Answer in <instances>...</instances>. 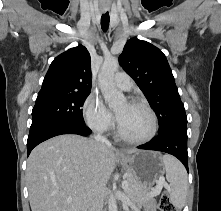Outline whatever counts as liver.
<instances>
[{"label": "liver", "mask_w": 221, "mask_h": 211, "mask_svg": "<svg viewBox=\"0 0 221 211\" xmlns=\"http://www.w3.org/2000/svg\"><path fill=\"white\" fill-rule=\"evenodd\" d=\"M114 152L112 146L72 134L39 144L27 161L31 210L89 211L96 194L103 193L115 168ZM68 198H72L70 203Z\"/></svg>", "instance_id": "obj_1"}]
</instances>
